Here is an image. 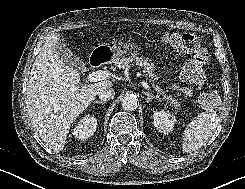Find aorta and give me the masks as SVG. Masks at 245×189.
Masks as SVG:
<instances>
[{
    "instance_id": "obj_1",
    "label": "aorta",
    "mask_w": 245,
    "mask_h": 189,
    "mask_svg": "<svg viewBox=\"0 0 245 189\" xmlns=\"http://www.w3.org/2000/svg\"><path fill=\"white\" fill-rule=\"evenodd\" d=\"M122 107L124 110L133 111L138 107V99L135 95H126L122 100Z\"/></svg>"
}]
</instances>
